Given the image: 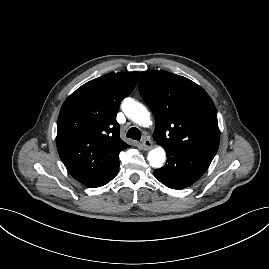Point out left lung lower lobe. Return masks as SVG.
Segmentation results:
<instances>
[{
	"label": "left lung lower lobe",
	"instance_id": "left-lung-lower-lobe-1",
	"mask_svg": "<svg viewBox=\"0 0 269 269\" xmlns=\"http://www.w3.org/2000/svg\"><path fill=\"white\" fill-rule=\"evenodd\" d=\"M167 164L154 170V176L165 186L183 189L197 181L208 169L213 154L181 148L166 150Z\"/></svg>",
	"mask_w": 269,
	"mask_h": 269
}]
</instances>
